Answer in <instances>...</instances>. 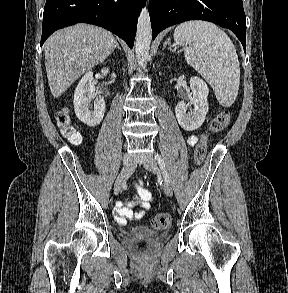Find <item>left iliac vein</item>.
<instances>
[{
  "label": "left iliac vein",
  "instance_id": "4c4485c4",
  "mask_svg": "<svg viewBox=\"0 0 288 293\" xmlns=\"http://www.w3.org/2000/svg\"><path fill=\"white\" fill-rule=\"evenodd\" d=\"M143 166L145 167V169H147L148 171L155 173V174H157L159 171L158 164H157L156 160L153 158H148L147 160H145L143 162ZM163 189H164V192L167 196H169V197L172 196L173 191H172V188L170 187L169 184L165 183Z\"/></svg>",
  "mask_w": 288,
  "mask_h": 293
}]
</instances>
